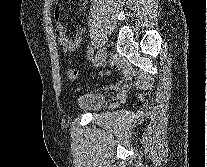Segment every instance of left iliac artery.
<instances>
[{
  "label": "left iliac artery",
  "mask_w": 207,
  "mask_h": 167,
  "mask_svg": "<svg viewBox=\"0 0 207 167\" xmlns=\"http://www.w3.org/2000/svg\"><path fill=\"white\" fill-rule=\"evenodd\" d=\"M93 53H94L93 48L90 47L89 50H88V56H87L89 60L92 58Z\"/></svg>",
  "instance_id": "44dca946"
}]
</instances>
